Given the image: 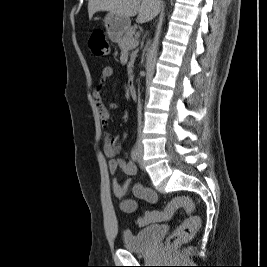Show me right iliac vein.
Returning <instances> with one entry per match:
<instances>
[{
	"mask_svg": "<svg viewBox=\"0 0 267 267\" xmlns=\"http://www.w3.org/2000/svg\"><path fill=\"white\" fill-rule=\"evenodd\" d=\"M140 152H142V150L139 149V150H138V154H139Z\"/></svg>",
	"mask_w": 267,
	"mask_h": 267,
	"instance_id": "63e3f726",
	"label": "right iliac vein"
}]
</instances>
